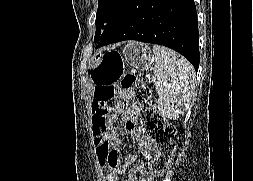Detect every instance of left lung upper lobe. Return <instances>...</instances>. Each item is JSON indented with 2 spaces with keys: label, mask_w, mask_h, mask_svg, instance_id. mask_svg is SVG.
<instances>
[{
  "label": "left lung upper lobe",
  "mask_w": 253,
  "mask_h": 181,
  "mask_svg": "<svg viewBox=\"0 0 253 181\" xmlns=\"http://www.w3.org/2000/svg\"><path fill=\"white\" fill-rule=\"evenodd\" d=\"M131 0H98L95 41H99L116 23Z\"/></svg>",
  "instance_id": "5c2ea615"
}]
</instances>
